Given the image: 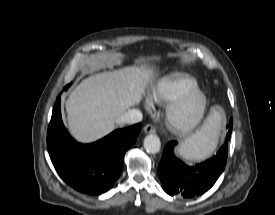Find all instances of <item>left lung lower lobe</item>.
Instances as JSON below:
<instances>
[{"label":"left lung lower lobe","mask_w":275,"mask_h":215,"mask_svg":"<svg viewBox=\"0 0 275 215\" xmlns=\"http://www.w3.org/2000/svg\"><path fill=\"white\" fill-rule=\"evenodd\" d=\"M228 128L226 141L229 140L232 131V119ZM176 144V141H171L166 145L157 169L162 188L171 196H200L215 184L224 171L227 159L216 155L202 163L188 166L174 155L173 149Z\"/></svg>","instance_id":"obj_1"}]
</instances>
